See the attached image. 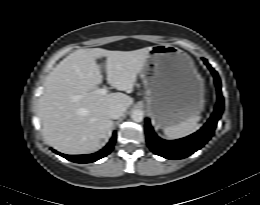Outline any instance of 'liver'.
<instances>
[{"instance_id":"liver-1","label":"liver","mask_w":260,"mask_h":205,"mask_svg":"<svg viewBox=\"0 0 260 205\" xmlns=\"http://www.w3.org/2000/svg\"><path fill=\"white\" fill-rule=\"evenodd\" d=\"M152 47L134 51L79 49L64 58L47 76L39 99L38 115L44 139L66 154L97 151L111 133V107L127 109L133 98L121 93L97 94L102 83L97 59L106 57L107 81L119 91L134 87ZM82 96L75 100V96Z\"/></svg>"}]
</instances>
